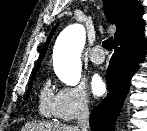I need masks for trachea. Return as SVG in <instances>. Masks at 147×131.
<instances>
[{
  "instance_id": "obj_1",
  "label": "trachea",
  "mask_w": 147,
  "mask_h": 131,
  "mask_svg": "<svg viewBox=\"0 0 147 131\" xmlns=\"http://www.w3.org/2000/svg\"><path fill=\"white\" fill-rule=\"evenodd\" d=\"M102 45L106 50L111 51L113 48V37L104 40Z\"/></svg>"
}]
</instances>
